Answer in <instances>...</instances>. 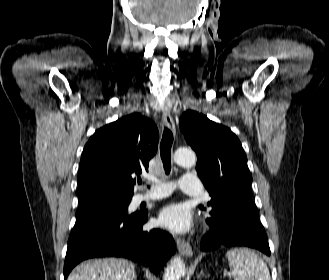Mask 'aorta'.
I'll list each match as a JSON object with an SVG mask.
<instances>
[{
    "mask_svg": "<svg viewBox=\"0 0 329 280\" xmlns=\"http://www.w3.org/2000/svg\"><path fill=\"white\" fill-rule=\"evenodd\" d=\"M174 161L180 166H192L196 162L195 153L190 149L180 148L174 154ZM185 275V264L181 257H174L168 263L163 280H181Z\"/></svg>",
    "mask_w": 329,
    "mask_h": 280,
    "instance_id": "1",
    "label": "aorta"
}]
</instances>
